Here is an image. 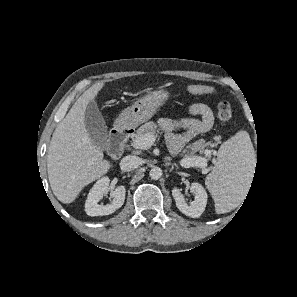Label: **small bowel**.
I'll list each match as a JSON object with an SVG mask.
<instances>
[{"label":"small bowel","instance_id":"c3829d8e","mask_svg":"<svg viewBox=\"0 0 297 297\" xmlns=\"http://www.w3.org/2000/svg\"><path fill=\"white\" fill-rule=\"evenodd\" d=\"M189 113L200 118H184L172 120L160 118L158 125L166 132L167 147L172 155H178L183 148L202 133L209 131L213 126V114L208 105L195 103L189 107ZM183 133L176 134V130Z\"/></svg>","mask_w":297,"mask_h":297}]
</instances>
